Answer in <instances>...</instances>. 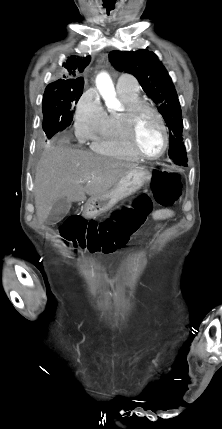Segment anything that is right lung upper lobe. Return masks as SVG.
Returning <instances> with one entry per match:
<instances>
[{
  "label": "right lung upper lobe",
  "mask_w": 222,
  "mask_h": 429,
  "mask_svg": "<svg viewBox=\"0 0 222 429\" xmlns=\"http://www.w3.org/2000/svg\"><path fill=\"white\" fill-rule=\"evenodd\" d=\"M90 56L85 58L71 56L61 67V78L57 81L50 83L46 89L48 90H65L72 88L78 84H84L82 77L79 73L83 72L85 67L90 63Z\"/></svg>",
  "instance_id": "cb5924a9"
}]
</instances>
